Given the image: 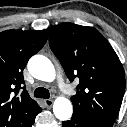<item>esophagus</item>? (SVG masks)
<instances>
[{"label":"esophagus","instance_id":"obj_1","mask_svg":"<svg viewBox=\"0 0 127 127\" xmlns=\"http://www.w3.org/2000/svg\"><path fill=\"white\" fill-rule=\"evenodd\" d=\"M44 104H45V106H46L47 108H51L52 105H53V100H51V99H46V100H44Z\"/></svg>","mask_w":127,"mask_h":127}]
</instances>
